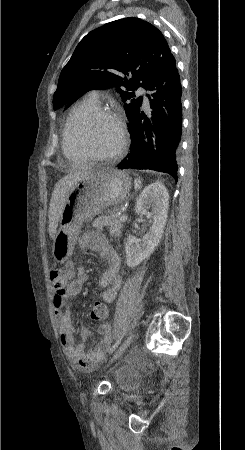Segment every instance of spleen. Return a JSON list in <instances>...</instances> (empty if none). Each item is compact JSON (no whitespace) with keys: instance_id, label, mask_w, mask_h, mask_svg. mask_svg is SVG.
I'll list each match as a JSON object with an SVG mask.
<instances>
[{"instance_id":"1","label":"spleen","mask_w":245,"mask_h":450,"mask_svg":"<svg viewBox=\"0 0 245 450\" xmlns=\"http://www.w3.org/2000/svg\"><path fill=\"white\" fill-rule=\"evenodd\" d=\"M134 187H135V189H140L141 188V180L140 179H135L134 180Z\"/></svg>"}]
</instances>
